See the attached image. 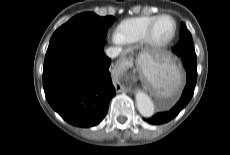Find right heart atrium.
I'll use <instances>...</instances> for the list:
<instances>
[{
	"label": "right heart atrium",
	"mask_w": 230,
	"mask_h": 155,
	"mask_svg": "<svg viewBox=\"0 0 230 155\" xmlns=\"http://www.w3.org/2000/svg\"><path fill=\"white\" fill-rule=\"evenodd\" d=\"M111 40L115 43H120L115 34L111 36Z\"/></svg>",
	"instance_id": "right-heart-atrium-1"
}]
</instances>
